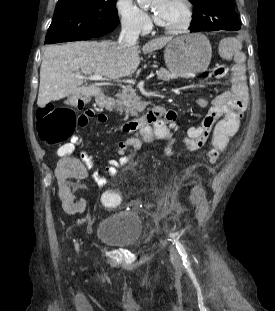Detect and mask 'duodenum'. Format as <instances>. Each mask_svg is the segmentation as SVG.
<instances>
[{
	"label": "duodenum",
	"mask_w": 275,
	"mask_h": 311,
	"mask_svg": "<svg viewBox=\"0 0 275 311\" xmlns=\"http://www.w3.org/2000/svg\"><path fill=\"white\" fill-rule=\"evenodd\" d=\"M97 101L103 105V106H108V107H111L112 106V98H109V97H105L103 94H99L97 96ZM154 110H164V107L162 106H157V107H154L152 109V112H154ZM151 113V111L149 112ZM149 113H147L146 115L140 117V118H137L135 120H132V121H128L124 124L123 126V130L125 132H131L133 130H136V129H139V128H142V127H145L146 126V120L149 119Z\"/></svg>",
	"instance_id": "1"
}]
</instances>
